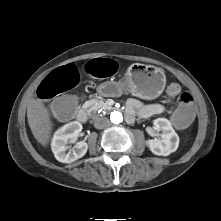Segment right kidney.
Returning a JSON list of instances; mask_svg holds the SVG:
<instances>
[{"label": "right kidney", "instance_id": "obj_1", "mask_svg": "<svg viewBox=\"0 0 221 221\" xmlns=\"http://www.w3.org/2000/svg\"><path fill=\"white\" fill-rule=\"evenodd\" d=\"M81 131V123L73 121L65 124L54 133L51 148L59 162L72 163L86 154L88 144L84 141L77 142L72 149L68 146L75 141ZM68 149L70 150L67 152Z\"/></svg>", "mask_w": 221, "mask_h": 221}]
</instances>
